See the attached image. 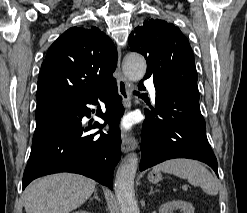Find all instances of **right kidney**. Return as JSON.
<instances>
[{
    "label": "right kidney",
    "mask_w": 247,
    "mask_h": 213,
    "mask_svg": "<svg viewBox=\"0 0 247 213\" xmlns=\"http://www.w3.org/2000/svg\"><path fill=\"white\" fill-rule=\"evenodd\" d=\"M73 213H91V212H88V211H84V210H78L76 212H73Z\"/></svg>",
    "instance_id": "right-kidney-1"
}]
</instances>
